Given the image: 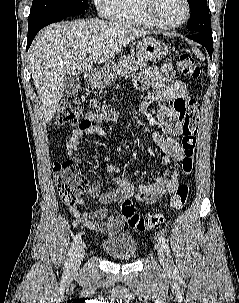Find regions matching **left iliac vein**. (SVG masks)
Segmentation results:
<instances>
[{
  "label": "left iliac vein",
  "mask_w": 239,
  "mask_h": 303,
  "mask_svg": "<svg viewBox=\"0 0 239 303\" xmlns=\"http://www.w3.org/2000/svg\"><path fill=\"white\" fill-rule=\"evenodd\" d=\"M155 247H156L158 258L160 260V263H161L162 267L165 270H169L170 266H169V263H168V259H167L166 255H165V252H164L162 246L160 244H156Z\"/></svg>",
  "instance_id": "1"
}]
</instances>
